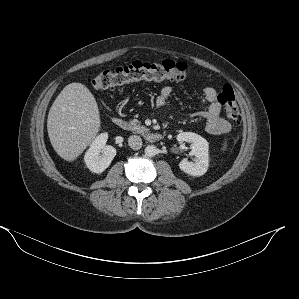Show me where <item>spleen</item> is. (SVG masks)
<instances>
[{"label": "spleen", "mask_w": 299, "mask_h": 299, "mask_svg": "<svg viewBox=\"0 0 299 299\" xmlns=\"http://www.w3.org/2000/svg\"><path fill=\"white\" fill-rule=\"evenodd\" d=\"M225 149H226V144H224V146H223L222 150H225Z\"/></svg>", "instance_id": "spleen-1"}]
</instances>
